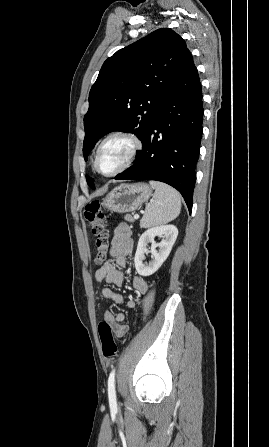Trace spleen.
Masks as SVG:
<instances>
[{"label":"spleen","instance_id":"spleen-1","mask_svg":"<svg viewBox=\"0 0 269 447\" xmlns=\"http://www.w3.org/2000/svg\"><path fill=\"white\" fill-rule=\"evenodd\" d=\"M155 188L153 202L147 204L145 214L140 220L141 227L168 224L181 212V196L174 188L162 182H149Z\"/></svg>","mask_w":269,"mask_h":447}]
</instances>
